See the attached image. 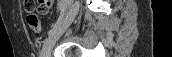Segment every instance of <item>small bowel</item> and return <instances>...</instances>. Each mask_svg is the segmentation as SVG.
<instances>
[{
	"mask_svg": "<svg viewBox=\"0 0 172 57\" xmlns=\"http://www.w3.org/2000/svg\"><path fill=\"white\" fill-rule=\"evenodd\" d=\"M52 6H53V0H44L41 4H39L38 10L40 11V13L46 14L49 12V10ZM25 7L26 8L29 7L28 1H26Z\"/></svg>",
	"mask_w": 172,
	"mask_h": 57,
	"instance_id": "small-bowel-1",
	"label": "small bowel"
}]
</instances>
